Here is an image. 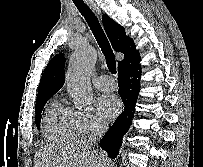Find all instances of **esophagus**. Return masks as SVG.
<instances>
[{"label":"esophagus","mask_w":203,"mask_h":167,"mask_svg":"<svg viewBox=\"0 0 203 167\" xmlns=\"http://www.w3.org/2000/svg\"><path fill=\"white\" fill-rule=\"evenodd\" d=\"M89 5L97 14H100L99 8L93 2H90Z\"/></svg>","instance_id":"1"}]
</instances>
